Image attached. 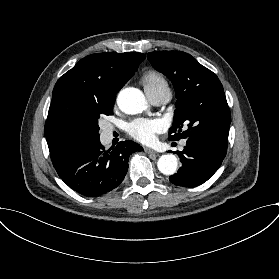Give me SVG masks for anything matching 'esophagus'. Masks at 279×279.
Segmentation results:
<instances>
[{"label": "esophagus", "instance_id": "1", "mask_svg": "<svg viewBox=\"0 0 279 279\" xmlns=\"http://www.w3.org/2000/svg\"><path fill=\"white\" fill-rule=\"evenodd\" d=\"M144 151H145L148 155L153 156V157H154L153 159L156 158V154H157V153H156V151L153 150L152 148H149V147L144 146Z\"/></svg>", "mask_w": 279, "mask_h": 279}]
</instances>
